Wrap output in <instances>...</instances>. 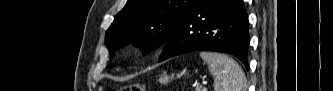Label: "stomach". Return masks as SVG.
I'll return each mask as SVG.
<instances>
[{"label":"stomach","mask_w":333,"mask_h":91,"mask_svg":"<svg viewBox=\"0 0 333 91\" xmlns=\"http://www.w3.org/2000/svg\"><path fill=\"white\" fill-rule=\"evenodd\" d=\"M172 80L171 76H168L166 74H163L160 78H159V82L161 84H167L168 82H170Z\"/></svg>","instance_id":"stomach-1"}]
</instances>
